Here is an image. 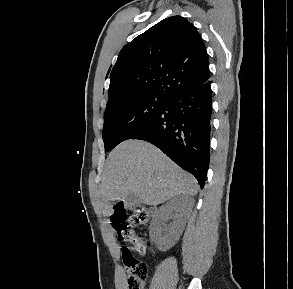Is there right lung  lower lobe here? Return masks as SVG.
I'll list each match as a JSON object with an SVG mask.
<instances>
[{
    "mask_svg": "<svg viewBox=\"0 0 293 289\" xmlns=\"http://www.w3.org/2000/svg\"><path fill=\"white\" fill-rule=\"evenodd\" d=\"M211 82L177 93L127 139L148 141L193 174L203 188L209 165Z\"/></svg>",
    "mask_w": 293,
    "mask_h": 289,
    "instance_id": "obj_1",
    "label": "right lung lower lobe"
}]
</instances>
